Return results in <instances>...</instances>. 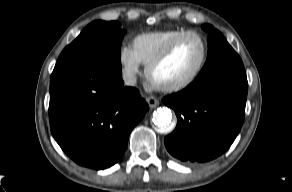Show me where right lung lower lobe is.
<instances>
[{"label": "right lung lower lobe", "instance_id": "obj_1", "mask_svg": "<svg viewBox=\"0 0 292 192\" xmlns=\"http://www.w3.org/2000/svg\"><path fill=\"white\" fill-rule=\"evenodd\" d=\"M148 109L136 88L124 86L121 71L99 61H57L50 80L51 132L79 165H114Z\"/></svg>", "mask_w": 292, "mask_h": 192}]
</instances>
